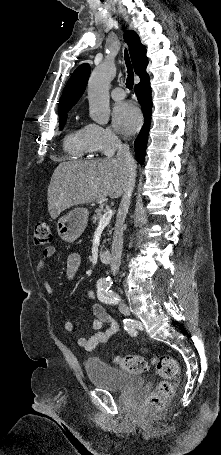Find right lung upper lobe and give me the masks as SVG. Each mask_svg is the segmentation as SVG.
I'll use <instances>...</instances> for the list:
<instances>
[{"mask_svg":"<svg viewBox=\"0 0 221 455\" xmlns=\"http://www.w3.org/2000/svg\"><path fill=\"white\" fill-rule=\"evenodd\" d=\"M124 39L129 46V52L135 73L141 78L146 72V67L148 64V59L146 57V48L140 42V38L137 33L133 30L125 31ZM89 74L90 66L88 64L80 65L73 72L59 100L58 111L63 109L70 110L72 106L79 100L85 91Z\"/></svg>","mask_w":221,"mask_h":455,"instance_id":"obj_1","label":"right lung upper lobe"}]
</instances>
